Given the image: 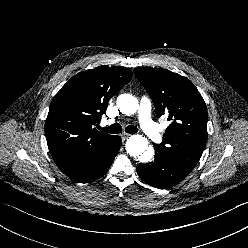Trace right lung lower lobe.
<instances>
[{"label": "right lung lower lobe", "instance_id": "98d812e1", "mask_svg": "<svg viewBox=\"0 0 248 248\" xmlns=\"http://www.w3.org/2000/svg\"><path fill=\"white\" fill-rule=\"evenodd\" d=\"M121 138L112 136L94 155L87 157L76 168L63 171L78 182H91L105 175L121 146Z\"/></svg>", "mask_w": 248, "mask_h": 248}]
</instances>
